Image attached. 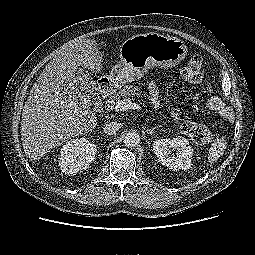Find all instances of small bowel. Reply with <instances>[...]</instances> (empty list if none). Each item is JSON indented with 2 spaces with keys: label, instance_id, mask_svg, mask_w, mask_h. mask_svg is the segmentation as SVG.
<instances>
[{
  "label": "small bowel",
  "instance_id": "1",
  "mask_svg": "<svg viewBox=\"0 0 255 255\" xmlns=\"http://www.w3.org/2000/svg\"><path fill=\"white\" fill-rule=\"evenodd\" d=\"M148 91H149V95H150L153 105L155 107H158L160 104V97H159V90H158V87L155 82H150L148 84ZM208 107L210 109H219V108L221 109L222 104H221V102H219L217 107H213L212 105L208 104Z\"/></svg>",
  "mask_w": 255,
  "mask_h": 255
}]
</instances>
